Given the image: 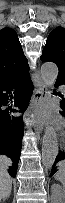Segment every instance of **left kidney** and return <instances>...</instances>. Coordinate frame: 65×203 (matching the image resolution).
<instances>
[{
	"mask_svg": "<svg viewBox=\"0 0 65 203\" xmlns=\"http://www.w3.org/2000/svg\"><path fill=\"white\" fill-rule=\"evenodd\" d=\"M58 192L54 193L55 198L52 200V203H65V188L57 184L53 185Z\"/></svg>",
	"mask_w": 65,
	"mask_h": 203,
	"instance_id": "obj_1",
	"label": "left kidney"
}]
</instances>
